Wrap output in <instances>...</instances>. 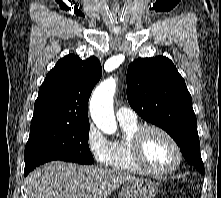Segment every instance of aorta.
<instances>
[{
  "instance_id": "aorta-1",
  "label": "aorta",
  "mask_w": 221,
  "mask_h": 198,
  "mask_svg": "<svg viewBox=\"0 0 221 198\" xmlns=\"http://www.w3.org/2000/svg\"><path fill=\"white\" fill-rule=\"evenodd\" d=\"M116 91V79L108 78L94 90L90 100V114L95 125L106 134L117 131L113 110V97Z\"/></svg>"
}]
</instances>
